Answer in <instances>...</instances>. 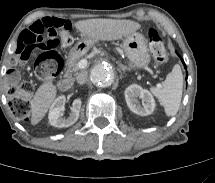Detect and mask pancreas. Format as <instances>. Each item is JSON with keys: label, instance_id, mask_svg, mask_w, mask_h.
Wrapping results in <instances>:
<instances>
[{"label": "pancreas", "instance_id": "obj_1", "mask_svg": "<svg viewBox=\"0 0 215 183\" xmlns=\"http://www.w3.org/2000/svg\"><path fill=\"white\" fill-rule=\"evenodd\" d=\"M69 62V65L71 66V71L72 72H77L79 70V67H78V62H79V58H76L72 61H68Z\"/></svg>", "mask_w": 215, "mask_h": 183}]
</instances>
